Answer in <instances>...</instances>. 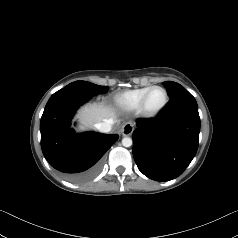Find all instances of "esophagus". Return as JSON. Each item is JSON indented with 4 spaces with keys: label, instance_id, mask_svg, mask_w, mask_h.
Segmentation results:
<instances>
[{
    "label": "esophagus",
    "instance_id": "esophagus-1",
    "mask_svg": "<svg viewBox=\"0 0 238 238\" xmlns=\"http://www.w3.org/2000/svg\"><path fill=\"white\" fill-rule=\"evenodd\" d=\"M134 131V126L131 123H126L122 128H121V133L123 136H129L133 133Z\"/></svg>",
    "mask_w": 238,
    "mask_h": 238
}]
</instances>
